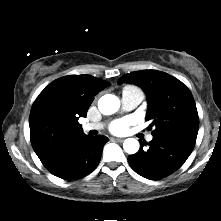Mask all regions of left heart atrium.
Segmentation results:
<instances>
[{"label": "left heart atrium", "mask_w": 221, "mask_h": 221, "mask_svg": "<svg viewBox=\"0 0 221 221\" xmlns=\"http://www.w3.org/2000/svg\"><path fill=\"white\" fill-rule=\"evenodd\" d=\"M129 124V119L117 120L111 125L110 129L113 133L122 134L127 131Z\"/></svg>", "instance_id": "obj_1"}]
</instances>
